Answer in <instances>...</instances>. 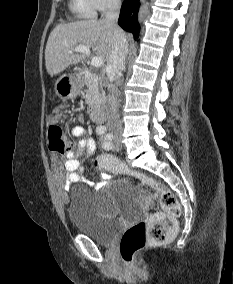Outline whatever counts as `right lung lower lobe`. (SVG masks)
<instances>
[{
    "instance_id": "98d812e1",
    "label": "right lung lower lobe",
    "mask_w": 233,
    "mask_h": 284,
    "mask_svg": "<svg viewBox=\"0 0 233 284\" xmlns=\"http://www.w3.org/2000/svg\"><path fill=\"white\" fill-rule=\"evenodd\" d=\"M139 0H124L118 24L128 32L134 35V38L138 37L140 26L137 20L139 10Z\"/></svg>"
}]
</instances>
